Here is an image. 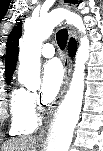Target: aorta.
<instances>
[{"mask_svg": "<svg viewBox=\"0 0 103 151\" xmlns=\"http://www.w3.org/2000/svg\"><path fill=\"white\" fill-rule=\"evenodd\" d=\"M66 20L79 31L86 33L82 18L65 9H54L45 16L25 23L24 35L20 40L19 79L23 82L40 70L42 42L53 29ZM89 57V40L87 36L80 39V46L75 60V70L69 91L61 103L53 124L46 151H68L73 138L74 128L79 120L84 93V69Z\"/></svg>", "mask_w": 103, "mask_h": 151, "instance_id": "1", "label": "aorta"}]
</instances>
